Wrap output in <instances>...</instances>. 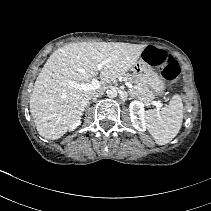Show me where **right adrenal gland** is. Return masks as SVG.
Returning <instances> with one entry per match:
<instances>
[{"instance_id":"2a0ac1e0","label":"right adrenal gland","mask_w":211,"mask_h":211,"mask_svg":"<svg viewBox=\"0 0 211 211\" xmlns=\"http://www.w3.org/2000/svg\"><path fill=\"white\" fill-rule=\"evenodd\" d=\"M90 103H91V102H89L87 106H90Z\"/></svg>"}]
</instances>
